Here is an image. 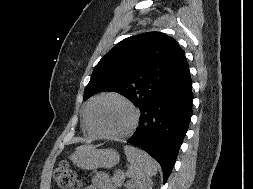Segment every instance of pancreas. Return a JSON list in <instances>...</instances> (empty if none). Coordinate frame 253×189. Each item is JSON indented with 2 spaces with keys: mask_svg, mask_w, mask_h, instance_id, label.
<instances>
[{
  "mask_svg": "<svg viewBox=\"0 0 253 189\" xmlns=\"http://www.w3.org/2000/svg\"><path fill=\"white\" fill-rule=\"evenodd\" d=\"M125 179V175L122 172H116L112 177V182L115 186L119 187L122 185L123 181Z\"/></svg>",
  "mask_w": 253,
  "mask_h": 189,
  "instance_id": "obj_1",
  "label": "pancreas"
}]
</instances>
